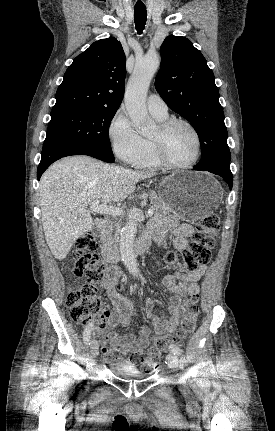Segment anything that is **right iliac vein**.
Segmentation results:
<instances>
[{"label": "right iliac vein", "mask_w": 275, "mask_h": 431, "mask_svg": "<svg viewBox=\"0 0 275 431\" xmlns=\"http://www.w3.org/2000/svg\"><path fill=\"white\" fill-rule=\"evenodd\" d=\"M90 348H91V355H92L93 358H95L97 356L98 350H99V343H98V341L95 340V339H93L91 341Z\"/></svg>", "instance_id": "right-iliac-vein-1"}]
</instances>
